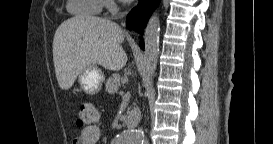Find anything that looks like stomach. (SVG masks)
Here are the masks:
<instances>
[{
	"label": "stomach",
	"mask_w": 273,
	"mask_h": 144,
	"mask_svg": "<svg viewBox=\"0 0 273 144\" xmlns=\"http://www.w3.org/2000/svg\"><path fill=\"white\" fill-rule=\"evenodd\" d=\"M105 80L102 70L95 64L88 65L80 72L78 81L81 89L87 94H97Z\"/></svg>",
	"instance_id": "obj_1"
}]
</instances>
